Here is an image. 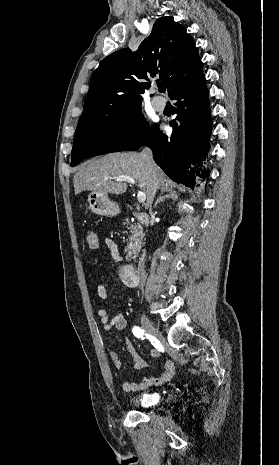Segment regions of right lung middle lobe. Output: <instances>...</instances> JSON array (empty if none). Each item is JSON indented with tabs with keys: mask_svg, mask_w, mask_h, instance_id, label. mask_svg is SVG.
Segmentation results:
<instances>
[{
	"mask_svg": "<svg viewBox=\"0 0 279 465\" xmlns=\"http://www.w3.org/2000/svg\"><path fill=\"white\" fill-rule=\"evenodd\" d=\"M140 107L128 111H110L97 120L78 125L75 131L71 166L83 159L111 152L141 147L158 131L157 125L149 127L140 121ZM131 122L140 128H126Z\"/></svg>",
	"mask_w": 279,
	"mask_h": 465,
	"instance_id": "obj_1",
	"label": "right lung middle lobe"
}]
</instances>
